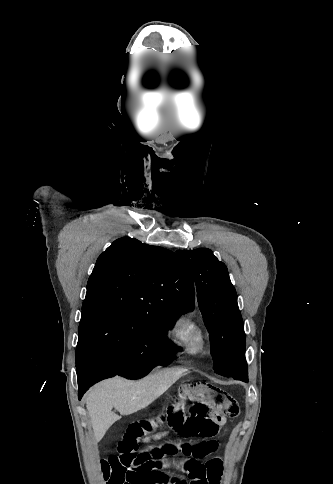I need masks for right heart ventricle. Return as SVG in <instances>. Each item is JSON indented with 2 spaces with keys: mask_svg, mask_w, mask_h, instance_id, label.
<instances>
[{
  "mask_svg": "<svg viewBox=\"0 0 333 484\" xmlns=\"http://www.w3.org/2000/svg\"><path fill=\"white\" fill-rule=\"evenodd\" d=\"M174 335L188 354H200L205 349L204 331L192 317L179 319L174 327Z\"/></svg>",
  "mask_w": 333,
  "mask_h": 484,
  "instance_id": "obj_1",
  "label": "right heart ventricle"
}]
</instances>
